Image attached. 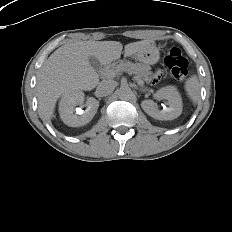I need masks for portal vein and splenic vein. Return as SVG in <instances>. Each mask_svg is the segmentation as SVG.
Here are the masks:
<instances>
[{"label": "portal vein and splenic vein", "instance_id": "portal-vein-and-splenic-vein-1", "mask_svg": "<svg viewBox=\"0 0 232 232\" xmlns=\"http://www.w3.org/2000/svg\"><path fill=\"white\" fill-rule=\"evenodd\" d=\"M115 75V72L114 71H109L108 72V76L110 77H113ZM139 84H142L143 82L142 81H138Z\"/></svg>", "mask_w": 232, "mask_h": 232}]
</instances>
